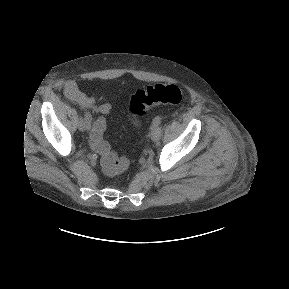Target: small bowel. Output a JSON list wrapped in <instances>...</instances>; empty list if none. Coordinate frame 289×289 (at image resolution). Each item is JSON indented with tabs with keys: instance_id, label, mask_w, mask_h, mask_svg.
I'll use <instances>...</instances> for the list:
<instances>
[{
	"instance_id": "small-bowel-1",
	"label": "small bowel",
	"mask_w": 289,
	"mask_h": 289,
	"mask_svg": "<svg viewBox=\"0 0 289 289\" xmlns=\"http://www.w3.org/2000/svg\"><path fill=\"white\" fill-rule=\"evenodd\" d=\"M64 94L69 100L77 103L82 108L92 110L95 113L108 115L113 108L112 104L108 102L98 105L95 96H89L82 92L74 80H69L64 84ZM93 133L94 130L92 129V136Z\"/></svg>"
}]
</instances>
